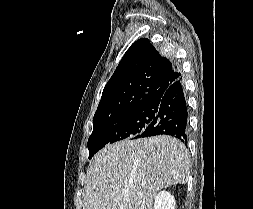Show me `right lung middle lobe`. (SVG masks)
Returning a JSON list of instances; mask_svg holds the SVG:
<instances>
[{
    "instance_id": "1",
    "label": "right lung middle lobe",
    "mask_w": 253,
    "mask_h": 209,
    "mask_svg": "<svg viewBox=\"0 0 253 209\" xmlns=\"http://www.w3.org/2000/svg\"><path fill=\"white\" fill-rule=\"evenodd\" d=\"M156 115L152 106L132 108L120 115L93 120V132L88 139L89 159L104 146L126 139H137Z\"/></svg>"
}]
</instances>
